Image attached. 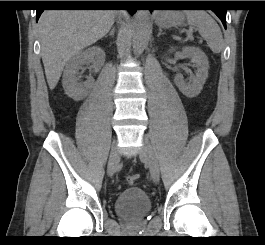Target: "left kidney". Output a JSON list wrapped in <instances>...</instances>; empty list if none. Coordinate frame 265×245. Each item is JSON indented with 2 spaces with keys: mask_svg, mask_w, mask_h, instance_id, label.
<instances>
[{
  "mask_svg": "<svg viewBox=\"0 0 265 245\" xmlns=\"http://www.w3.org/2000/svg\"><path fill=\"white\" fill-rule=\"evenodd\" d=\"M182 54L191 59L197 71L189 82H185L181 74L175 76L174 82L185 96L193 98L200 94L208 78L209 61L205 53L197 47H185L182 49Z\"/></svg>",
  "mask_w": 265,
  "mask_h": 245,
  "instance_id": "obj_1",
  "label": "left kidney"
}]
</instances>
